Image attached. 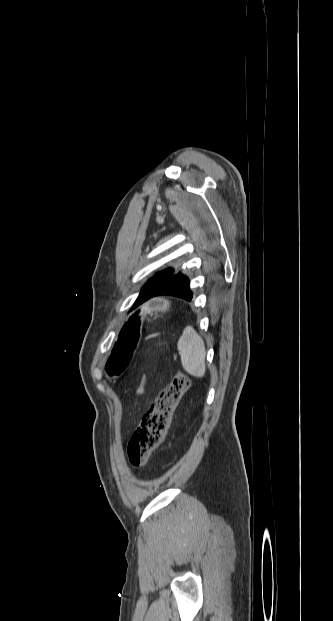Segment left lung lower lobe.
Masks as SVG:
<instances>
[{
	"label": "left lung lower lobe",
	"mask_w": 333,
	"mask_h": 621,
	"mask_svg": "<svg viewBox=\"0 0 333 621\" xmlns=\"http://www.w3.org/2000/svg\"><path fill=\"white\" fill-rule=\"evenodd\" d=\"M189 286V279L184 275H180L156 291L153 297L176 296L190 301L193 297V292L190 290Z\"/></svg>",
	"instance_id": "1"
}]
</instances>
